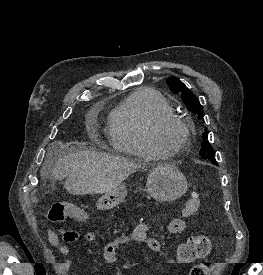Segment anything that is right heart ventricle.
Segmentation results:
<instances>
[{
    "mask_svg": "<svg viewBox=\"0 0 263 275\" xmlns=\"http://www.w3.org/2000/svg\"><path fill=\"white\" fill-rule=\"evenodd\" d=\"M163 114H174V110L158 91L141 89L131 93L109 116L108 137L112 147L140 158L163 157L149 141L151 125Z\"/></svg>",
    "mask_w": 263,
    "mask_h": 275,
    "instance_id": "right-heart-ventricle-1",
    "label": "right heart ventricle"
}]
</instances>
